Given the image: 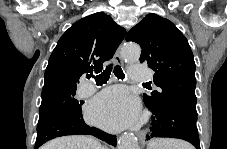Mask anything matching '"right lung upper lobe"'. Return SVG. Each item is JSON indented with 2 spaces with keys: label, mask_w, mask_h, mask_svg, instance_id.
<instances>
[{
  "label": "right lung upper lobe",
  "mask_w": 227,
  "mask_h": 149,
  "mask_svg": "<svg viewBox=\"0 0 227 149\" xmlns=\"http://www.w3.org/2000/svg\"><path fill=\"white\" fill-rule=\"evenodd\" d=\"M126 30L113 19L97 12L74 23L59 39L45 71L43 88L79 83L89 70H102L123 40Z\"/></svg>",
  "instance_id": "1"
}]
</instances>
